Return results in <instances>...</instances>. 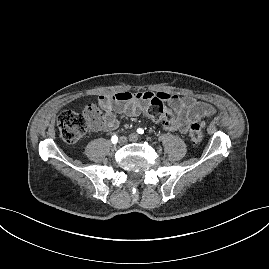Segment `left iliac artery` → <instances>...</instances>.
<instances>
[{
    "instance_id": "44dca946",
    "label": "left iliac artery",
    "mask_w": 269,
    "mask_h": 269,
    "mask_svg": "<svg viewBox=\"0 0 269 269\" xmlns=\"http://www.w3.org/2000/svg\"><path fill=\"white\" fill-rule=\"evenodd\" d=\"M137 133H138V134H144V130H143L142 128H138V129H137Z\"/></svg>"
}]
</instances>
